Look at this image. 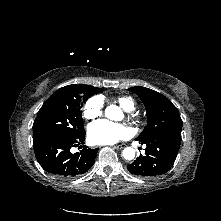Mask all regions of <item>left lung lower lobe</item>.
<instances>
[{
	"label": "left lung lower lobe",
	"instance_id": "obj_1",
	"mask_svg": "<svg viewBox=\"0 0 221 221\" xmlns=\"http://www.w3.org/2000/svg\"><path fill=\"white\" fill-rule=\"evenodd\" d=\"M138 141L146 144L145 155L140 154L127 168L134 175L154 177L168 172L172 167L179 151L181 135L160 133Z\"/></svg>",
	"mask_w": 221,
	"mask_h": 221
}]
</instances>
